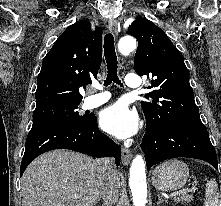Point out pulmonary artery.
<instances>
[{"label": "pulmonary artery", "instance_id": "obj_1", "mask_svg": "<svg viewBox=\"0 0 221 206\" xmlns=\"http://www.w3.org/2000/svg\"><path fill=\"white\" fill-rule=\"evenodd\" d=\"M124 81H125L126 86L130 88H139L141 86V79L136 74H127L125 76ZM95 88L100 90V93L91 95L86 99V102H85L86 108L91 109V108L98 107L104 104L105 102H107L108 99L110 98V94L106 87L100 84H97L95 85Z\"/></svg>", "mask_w": 221, "mask_h": 206}]
</instances>
